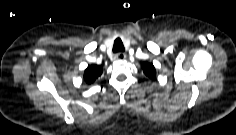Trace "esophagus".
Listing matches in <instances>:
<instances>
[{"label":"esophagus","mask_w":236,"mask_h":135,"mask_svg":"<svg viewBox=\"0 0 236 135\" xmlns=\"http://www.w3.org/2000/svg\"><path fill=\"white\" fill-rule=\"evenodd\" d=\"M115 59L116 60H125L126 59V54L123 53V52H119V53L116 54Z\"/></svg>","instance_id":"esophagus-1"}]
</instances>
